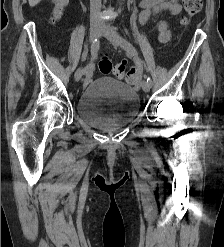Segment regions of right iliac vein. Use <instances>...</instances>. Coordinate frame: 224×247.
Segmentation results:
<instances>
[{"label":"right iliac vein","instance_id":"obj_1","mask_svg":"<svg viewBox=\"0 0 224 247\" xmlns=\"http://www.w3.org/2000/svg\"><path fill=\"white\" fill-rule=\"evenodd\" d=\"M101 31L102 26L100 24H92L90 27V41L93 42L100 35ZM83 70V67L77 69L74 75L75 81H79L81 79Z\"/></svg>","mask_w":224,"mask_h":247}]
</instances>
